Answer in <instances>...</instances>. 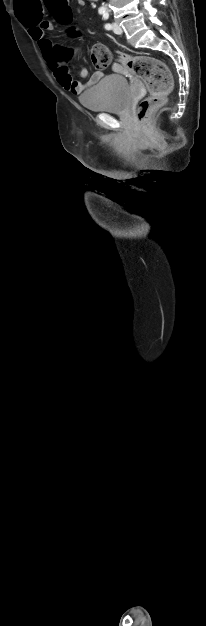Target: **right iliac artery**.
Instances as JSON below:
<instances>
[{"mask_svg":"<svg viewBox=\"0 0 206 626\" xmlns=\"http://www.w3.org/2000/svg\"><path fill=\"white\" fill-rule=\"evenodd\" d=\"M99 13L100 14H104L105 12L103 10H99Z\"/></svg>","mask_w":206,"mask_h":626,"instance_id":"1","label":"right iliac artery"}]
</instances>
